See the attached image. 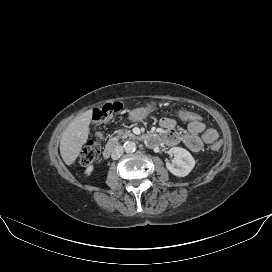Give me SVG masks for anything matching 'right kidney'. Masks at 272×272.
Masks as SVG:
<instances>
[{
	"mask_svg": "<svg viewBox=\"0 0 272 272\" xmlns=\"http://www.w3.org/2000/svg\"><path fill=\"white\" fill-rule=\"evenodd\" d=\"M93 169H94L93 165H89V166L86 168L85 172H84L85 175H86V176H90L91 173L93 172Z\"/></svg>",
	"mask_w": 272,
	"mask_h": 272,
	"instance_id": "ca27d5eb",
	"label": "right kidney"
}]
</instances>
